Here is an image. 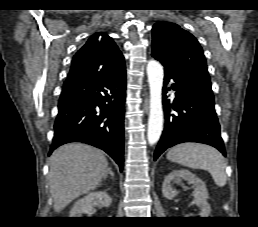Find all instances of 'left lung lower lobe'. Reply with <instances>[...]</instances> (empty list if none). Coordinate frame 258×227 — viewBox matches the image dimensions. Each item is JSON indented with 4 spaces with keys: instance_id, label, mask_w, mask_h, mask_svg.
Listing matches in <instances>:
<instances>
[{
    "instance_id": "1",
    "label": "left lung lower lobe",
    "mask_w": 258,
    "mask_h": 227,
    "mask_svg": "<svg viewBox=\"0 0 258 227\" xmlns=\"http://www.w3.org/2000/svg\"><path fill=\"white\" fill-rule=\"evenodd\" d=\"M164 71V88L172 79L171 88L175 90L176 97L170 104L165 91L163 93L165 124L154 160L167 148L183 142L208 144L225 155L211 83L169 69Z\"/></svg>"
}]
</instances>
